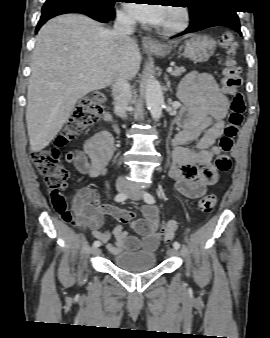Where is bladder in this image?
<instances>
[{
  "mask_svg": "<svg viewBox=\"0 0 270 338\" xmlns=\"http://www.w3.org/2000/svg\"><path fill=\"white\" fill-rule=\"evenodd\" d=\"M157 258L154 252H126L122 251L115 255L112 264L123 271L141 273L154 269Z\"/></svg>",
  "mask_w": 270,
  "mask_h": 338,
  "instance_id": "obj_1",
  "label": "bladder"
}]
</instances>
